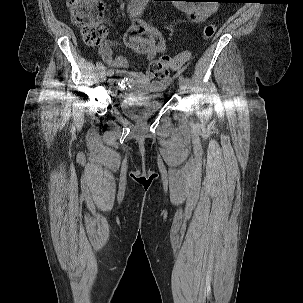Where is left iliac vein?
Listing matches in <instances>:
<instances>
[{"label":"left iliac vein","mask_w":303,"mask_h":303,"mask_svg":"<svg viewBox=\"0 0 303 303\" xmlns=\"http://www.w3.org/2000/svg\"><path fill=\"white\" fill-rule=\"evenodd\" d=\"M179 89L181 93H184L186 90V82L184 77L179 78Z\"/></svg>","instance_id":"left-iliac-vein-1"}]
</instances>
